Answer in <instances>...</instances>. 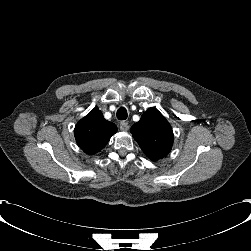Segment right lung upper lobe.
Segmentation results:
<instances>
[{"label": "right lung upper lobe", "mask_w": 251, "mask_h": 251, "mask_svg": "<svg viewBox=\"0 0 251 251\" xmlns=\"http://www.w3.org/2000/svg\"><path fill=\"white\" fill-rule=\"evenodd\" d=\"M116 132V125L105 120L98 108L92 109L74 129L78 146L89 155L99 152Z\"/></svg>", "instance_id": "obj_1"}]
</instances>
